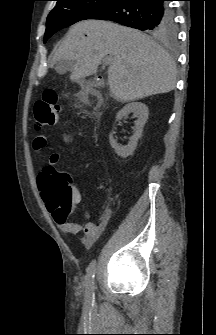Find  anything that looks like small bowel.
<instances>
[{"mask_svg": "<svg viewBox=\"0 0 216 335\" xmlns=\"http://www.w3.org/2000/svg\"><path fill=\"white\" fill-rule=\"evenodd\" d=\"M81 139L79 142L73 136L63 135V141L70 145L80 144L82 140V135H79ZM47 144V137L40 135L37 136L33 141V149L36 152H40ZM59 160V155L57 153L52 154L47 162V165L42 169L37 178V186L40 191L41 197L45 202L47 209L52 214L57 226L64 232L77 235L83 233L81 242L86 247H91L97 240L104 226L106 225L107 218L102 216L97 223H94L90 219V214L86 210L85 206L83 217L85 220L84 225L74 223L68 220L65 209L51 195L50 184L54 177L57 175L56 164ZM71 193L73 197V204H80L82 197L80 192L75 188H71Z\"/></svg>", "mask_w": 216, "mask_h": 335, "instance_id": "c3829d8e", "label": "small bowel"}]
</instances>
